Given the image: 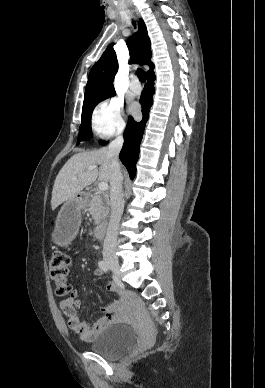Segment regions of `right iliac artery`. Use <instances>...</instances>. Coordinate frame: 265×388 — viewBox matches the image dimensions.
Segmentation results:
<instances>
[{"mask_svg":"<svg viewBox=\"0 0 265 388\" xmlns=\"http://www.w3.org/2000/svg\"><path fill=\"white\" fill-rule=\"evenodd\" d=\"M99 267L104 272H108L109 271V267H108V265L106 264L105 261H100L99 262Z\"/></svg>","mask_w":265,"mask_h":388,"instance_id":"82829eb1","label":"right iliac artery"}]
</instances>
